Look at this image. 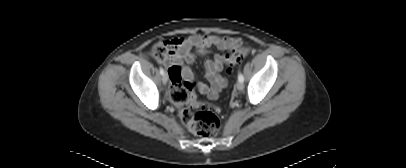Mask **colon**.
Returning <instances> with one entry per match:
<instances>
[{"label":"colon","instance_id":"obj_1","mask_svg":"<svg viewBox=\"0 0 406 168\" xmlns=\"http://www.w3.org/2000/svg\"><path fill=\"white\" fill-rule=\"evenodd\" d=\"M171 46L168 42L157 43L152 48V54L155 59L163 61L170 54ZM248 55V49L239 48L225 56V63L228 70L242 62ZM180 69L173 66L169 69L171 76L170 98L178 107V114L184 126L190 129L194 134L202 138H212L216 136L221 123L216 115L219 111L217 106L200 102L193 94V84L190 82L182 83L179 77Z\"/></svg>","mask_w":406,"mask_h":168}]
</instances>
